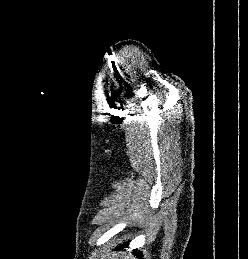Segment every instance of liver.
Here are the masks:
<instances>
[{"mask_svg": "<svg viewBox=\"0 0 248 259\" xmlns=\"http://www.w3.org/2000/svg\"><path fill=\"white\" fill-rule=\"evenodd\" d=\"M111 259H115V258H111ZM124 259H135V258L131 256V254H129V255H125Z\"/></svg>", "mask_w": 248, "mask_h": 259, "instance_id": "1", "label": "liver"}]
</instances>
